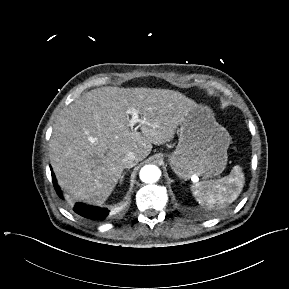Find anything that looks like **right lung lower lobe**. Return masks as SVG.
<instances>
[{
  "mask_svg": "<svg viewBox=\"0 0 289 289\" xmlns=\"http://www.w3.org/2000/svg\"><path fill=\"white\" fill-rule=\"evenodd\" d=\"M52 178H53L54 188H55L57 194L62 198V194L59 190V187L56 183V180L54 178L53 173H52ZM73 210L78 215L85 217L87 219L94 220V221H103L109 214V210L106 208L89 206V205H85L83 203H76L73 207Z\"/></svg>",
  "mask_w": 289,
  "mask_h": 289,
  "instance_id": "right-lung-lower-lobe-1",
  "label": "right lung lower lobe"
}]
</instances>
